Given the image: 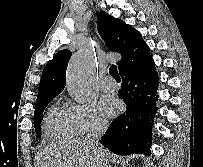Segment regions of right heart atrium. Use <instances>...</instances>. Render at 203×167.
<instances>
[{
	"label": "right heart atrium",
	"instance_id": "d8ad5b80",
	"mask_svg": "<svg viewBox=\"0 0 203 167\" xmlns=\"http://www.w3.org/2000/svg\"><path fill=\"white\" fill-rule=\"evenodd\" d=\"M65 111L75 135L81 136L89 132L104 130L107 127V121L91 103L69 102L65 106Z\"/></svg>",
	"mask_w": 203,
	"mask_h": 167
}]
</instances>
